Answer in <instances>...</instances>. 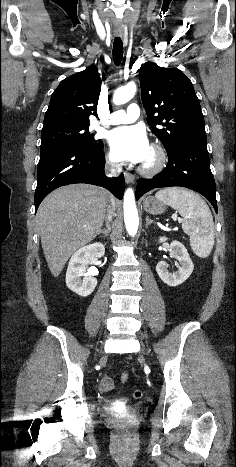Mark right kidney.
<instances>
[{
  "mask_svg": "<svg viewBox=\"0 0 236 467\" xmlns=\"http://www.w3.org/2000/svg\"><path fill=\"white\" fill-rule=\"evenodd\" d=\"M105 253L104 245L96 242L78 249L71 257L67 272L66 285L76 294L86 297L97 286L96 269L87 270V266L101 258Z\"/></svg>",
  "mask_w": 236,
  "mask_h": 467,
  "instance_id": "1",
  "label": "right kidney"
}]
</instances>
